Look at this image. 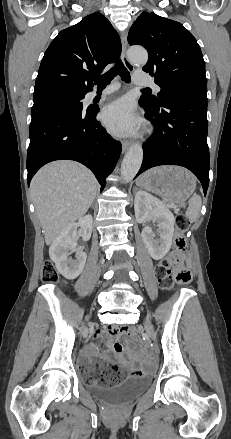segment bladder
Segmentation results:
<instances>
[{
	"instance_id": "obj_1",
	"label": "bladder",
	"mask_w": 231,
	"mask_h": 439,
	"mask_svg": "<svg viewBox=\"0 0 231 439\" xmlns=\"http://www.w3.org/2000/svg\"><path fill=\"white\" fill-rule=\"evenodd\" d=\"M101 368L90 359H79L76 370L80 377L87 379L96 370ZM150 375L130 377L114 386L89 385L90 394L97 400L107 403H125L141 394L150 384Z\"/></svg>"
}]
</instances>
